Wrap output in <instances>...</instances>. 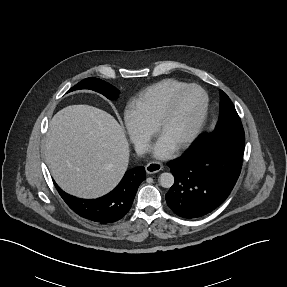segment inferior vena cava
Listing matches in <instances>:
<instances>
[{
	"label": "inferior vena cava",
	"mask_w": 287,
	"mask_h": 287,
	"mask_svg": "<svg viewBox=\"0 0 287 287\" xmlns=\"http://www.w3.org/2000/svg\"><path fill=\"white\" fill-rule=\"evenodd\" d=\"M135 151L137 152L138 155L141 156L148 151V146L145 144L136 145Z\"/></svg>",
	"instance_id": "obj_1"
}]
</instances>
